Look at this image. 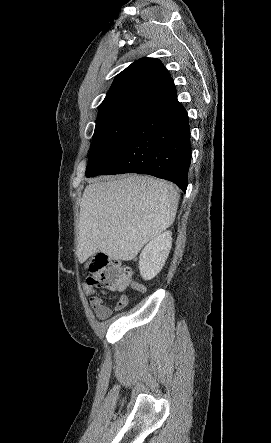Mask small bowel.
Here are the masks:
<instances>
[{
	"mask_svg": "<svg viewBox=\"0 0 271 443\" xmlns=\"http://www.w3.org/2000/svg\"><path fill=\"white\" fill-rule=\"evenodd\" d=\"M82 289L83 292L90 297V306L99 320H105L109 318L112 315L113 311H119L123 309L127 304V298L125 296H121L117 299L114 307L111 308L104 302L101 296L96 294L95 289L89 286L87 283L82 284ZM136 289L141 292L144 291V288L140 286H137Z\"/></svg>",
	"mask_w": 271,
	"mask_h": 443,
	"instance_id": "1",
	"label": "small bowel"
}]
</instances>
